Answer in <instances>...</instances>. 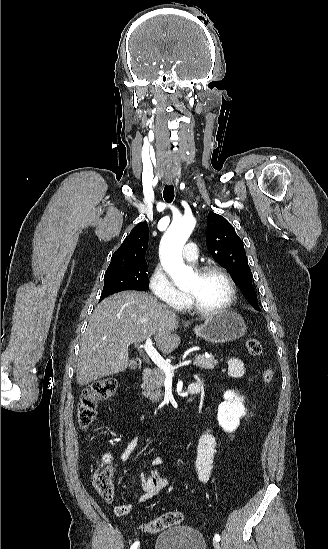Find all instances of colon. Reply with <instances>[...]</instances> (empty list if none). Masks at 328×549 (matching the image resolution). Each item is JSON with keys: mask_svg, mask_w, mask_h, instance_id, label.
<instances>
[{"mask_svg": "<svg viewBox=\"0 0 328 549\" xmlns=\"http://www.w3.org/2000/svg\"><path fill=\"white\" fill-rule=\"evenodd\" d=\"M246 349L253 356H261L263 347L259 340L247 338ZM274 372L271 368H265L262 379L265 384L273 381ZM117 390V381L114 378H105L96 381L82 393L77 407L78 423L82 429H88L96 417L99 401L112 397ZM113 471L108 466H99L93 474V486L97 494L104 500H110L113 496ZM183 521L180 511H170L142 525V530L147 533H158Z\"/></svg>", "mask_w": 328, "mask_h": 549, "instance_id": "5ec220e1", "label": "colon"}]
</instances>
